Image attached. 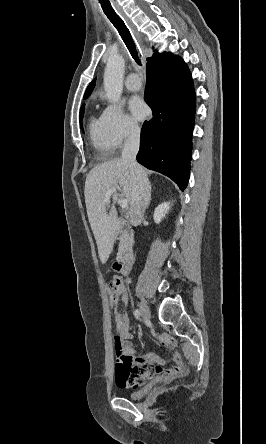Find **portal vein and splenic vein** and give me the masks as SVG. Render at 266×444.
I'll use <instances>...</instances> for the list:
<instances>
[{"label":"portal vein and splenic vein","mask_w":266,"mask_h":444,"mask_svg":"<svg viewBox=\"0 0 266 444\" xmlns=\"http://www.w3.org/2000/svg\"><path fill=\"white\" fill-rule=\"evenodd\" d=\"M117 189H118V188H116V187H113V188L109 189V190L107 191L106 195H105L104 202L109 203V202H110V197H111V195H112L113 193H115V192L117 191ZM128 202H129V201H128V199H126V198L121 199V200H120V205H121V207H122L123 209H125V208L128 206Z\"/></svg>","instance_id":"portal-vein-and-splenic-vein-1"}]
</instances>
